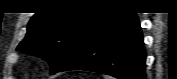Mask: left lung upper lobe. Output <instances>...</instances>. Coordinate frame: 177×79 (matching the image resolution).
I'll use <instances>...</instances> for the list:
<instances>
[{"mask_svg":"<svg viewBox=\"0 0 177 79\" xmlns=\"http://www.w3.org/2000/svg\"><path fill=\"white\" fill-rule=\"evenodd\" d=\"M106 13L69 10L36 13L29 21L26 37L17 50L43 57L50 62L52 73H56Z\"/></svg>","mask_w":177,"mask_h":79,"instance_id":"1","label":"left lung upper lobe"}]
</instances>
